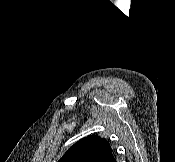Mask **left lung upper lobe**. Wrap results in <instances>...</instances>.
<instances>
[{
	"mask_svg": "<svg viewBox=\"0 0 175 162\" xmlns=\"http://www.w3.org/2000/svg\"><path fill=\"white\" fill-rule=\"evenodd\" d=\"M111 154L106 139L89 135L71 146L58 162H106Z\"/></svg>",
	"mask_w": 175,
	"mask_h": 162,
	"instance_id": "left-lung-upper-lobe-1",
	"label": "left lung upper lobe"
}]
</instances>
